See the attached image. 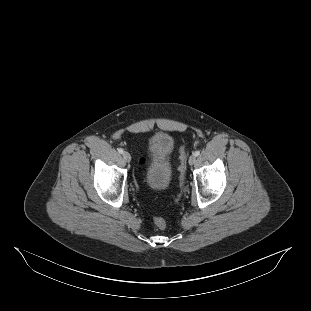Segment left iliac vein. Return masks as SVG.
Returning <instances> with one entry per match:
<instances>
[{
  "label": "left iliac vein",
  "mask_w": 311,
  "mask_h": 311,
  "mask_svg": "<svg viewBox=\"0 0 311 311\" xmlns=\"http://www.w3.org/2000/svg\"><path fill=\"white\" fill-rule=\"evenodd\" d=\"M195 162H196V156H195L194 154H192V155L189 157V164H190V165H193Z\"/></svg>",
  "instance_id": "obj_1"
}]
</instances>
